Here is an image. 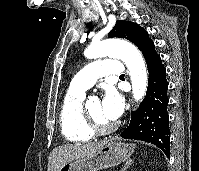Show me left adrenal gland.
Segmentation results:
<instances>
[{
  "label": "left adrenal gland",
  "mask_w": 199,
  "mask_h": 171,
  "mask_svg": "<svg viewBox=\"0 0 199 171\" xmlns=\"http://www.w3.org/2000/svg\"><path fill=\"white\" fill-rule=\"evenodd\" d=\"M133 163L132 159H129L126 161V163L124 164V166L121 168L120 171H126L127 168H129V166Z\"/></svg>",
  "instance_id": "obj_1"
}]
</instances>
